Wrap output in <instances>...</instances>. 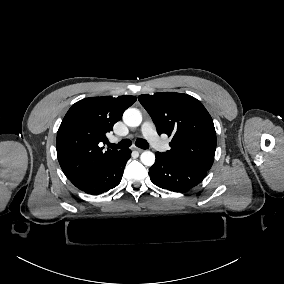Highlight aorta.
Segmentation results:
<instances>
[{
    "mask_svg": "<svg viewBox=\"0 0 284 284\" xmlns=\"http://www.w3.org/2000/svg\"><path fill=\"white\" fill-rule=\"evenodd\" d=\"M123 121L127 126L137 127L142 122L141 112L136 108H129L123 114ZM140 159L146 166H152L155 163V155L151 151H144Z\"/></svg>",
    "mask_w": 284,
    "mask_h": 284,
    "instance_id": "1",
    "label": "aorta"
}]
</instances>
